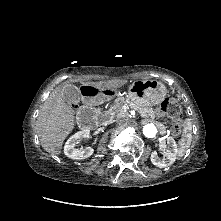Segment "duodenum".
Here are the masks:
<instances>
[{"mask_svg":"<svg viewBox=\"0 0 221 221\" xmlns=\"http://www.w3.org/2000/svg\"><path fill=\"white\" fill-rule=\"evenodd\" d=\"M118 95V89L110 87L84 86L80 90V97L85 101L87 107H93L99 102L113 100ZM96 113L92 110L84 109L78 117L79 125L82 129H87L92 123L96 122Z\"/></svg>","mask_w":221,"mask_h":221,"instance_id":"duodenum-1","label":"duodenum"}]
</instances>
